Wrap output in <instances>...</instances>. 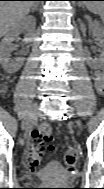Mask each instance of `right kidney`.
<instances>
[{
	"instance_id": "1",
	"label": "right kidney",
	"mask_w": 104,
	"mask_h": 189,
	"mask_svg": "<svg viewBox=\"0 0 104 189\" xmlns=\"http://www.w3.org/2000/svg\"><path fill=\"white\" fill-rule=\"evenodd\" d=\"M35 25L36 19L34 17H23L12 30L5 34L0 43V64L6 72L15 73L22 67L23 58H16L14 60L10 58V54L17 48L13 42L19 39L18 35L21 32L27 31L30 33L34 31Z\"/></svg>"
}]
</instances>
